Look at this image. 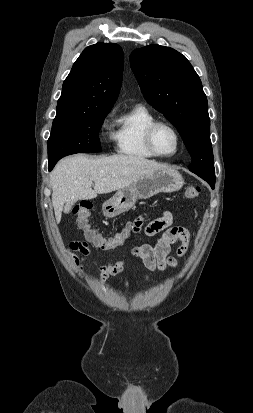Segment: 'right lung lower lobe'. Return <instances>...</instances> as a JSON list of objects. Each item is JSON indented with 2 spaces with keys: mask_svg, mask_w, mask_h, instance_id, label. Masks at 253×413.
<instances>
[{
  "mask_svg": "<svg viewBox=\"0 0 253 413\" xmlns=\"http://www.w3.org/2000/svg\"><path fill=\"white\" fill-rule=\"evenodd\" d=\"M57 162H49V171H51L53 169V167L55 166Z\"/></svg>",
  "mask_w": 253,
  "mask_h": 413,
  "instance_id": "obj_1",
  "label": "right lung lower lobe"
}]
</instances>
